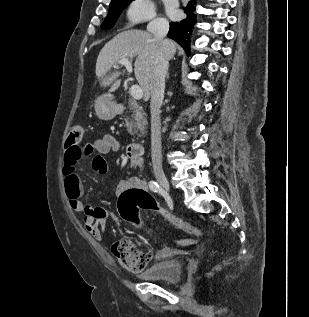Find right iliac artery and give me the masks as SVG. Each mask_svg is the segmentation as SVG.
<instances>
[{
  "mask_svg": "<svg viewBox=\"0 0 309 317\" xmlns=\"http://www.w3.org/2000/svg\"><path fill=\"white\" fill-rule=\"evenodd\" d=\"M149 188L153 191V192H160V187H159V185H158V183L157 182H155V181H150L149 182Z\"/></svg>",
  "mask_w": 309,
  "mask_h": 317,
  "instance_id": "82829eb1",
  "label": "right iliac artery"
}]
</instances>
